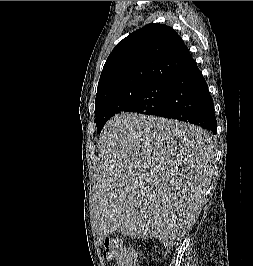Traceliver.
<instances>
[{
	"label": "liver",
	"instance_id": "1",
	"mask_svg": "<svg viewBox=\"0 0 253 266\" xmlns=\"http://www.w3.org/2000/svg\"><path fill=\"white\" fill-rule=\"evenodd\" d=\"M213 137L172 119L121 113L99 138L95 229L101 244L119 231L170 248L192 229L209 186Z\"/></svg>",
	"mask_w": 253,
	"mask_h": 266
}]
</instances>
